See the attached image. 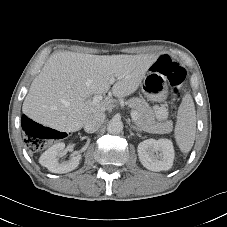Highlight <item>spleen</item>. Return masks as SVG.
I'll list each match as a JSON object with an SVG mask.
<instances>
[{
  "label": "spleen",
  "mask_w": 227,
  "mask_h": 227,
  "mask_svg": "<svg viewBox=\"0 0 227 227\" xmlns=\"http://www.w3.org/2000/svg\"><path fill=\"white\" fill-rule=\"evenodd\" d=\"M196 135V111L190 94L182 98L178 109L175 126V141L183 153H188L193 147Z\"/></svg>",
  "instance_id": "1"
}]
</instances>
